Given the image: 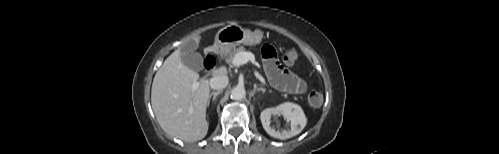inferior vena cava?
I'll return each mask as SVG.
<instances>
[{
    "label": "inferior vena cava",
    "instance_id": "inferior-vena-cava-1",
    "mask_svg": "<svg viewBox=\"0 0 499 154\" xmlns=\"http://www.w3.org/2000/svg\"><path fill=\"white\" fill-rule=\"evenodd\" d=\"M229 79L225 75L214 76L210 79V86L214 90H221L228 85Z\"/></svg>",
    "mask_w": 499,
    "mask_h": 154
}]
</instances>
